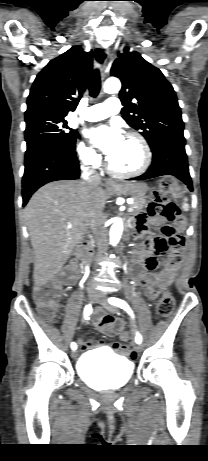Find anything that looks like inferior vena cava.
I'll return each mask as SVG.
<instances>
[{
  "label": "inferior vena cava",
  "mask_w": 208,
  "mask_h": 461,
  "mask_svg": "<svg viewBox=\"0 0 208 461\" xmlns=\"http://www.w3.org/2000/svg\"><path fill=\"white\" fill-rule=\"evenodd\" d=\"M83 179L91 187H97L100 184V177L98 175L92 174L88 168H82ZM104 216L102 211H97L90 220V226L95 234V239L98 247L99 255L103 254L107 250V232L104 228Z\"/></svg>",
  "instance_id": "obj_1"
}]
</instances>
